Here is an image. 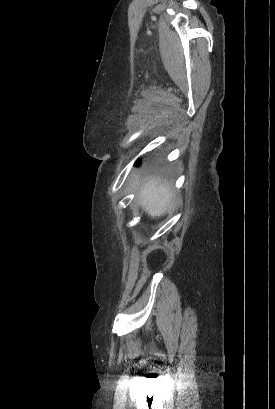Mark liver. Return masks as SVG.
I'll use <instances>...</instances> for the list:
<instances>
[{
	"mask_svg": "<svg viewBox=\"0 0 275 409\" xmlns=\"http://www.w3.org/2000/svg\"><path fill=\"white\" fill-rule=\"evenodd\" d=\"M139 205L144 207L150 217H161L173 200L172 190L156 178H149L139 190Z\"/></svg>",
	"mask_w": 275,
	"mask_h": 409,
	"instance_id": "liver-1",
	"label": "liver"
}]
</instances>
